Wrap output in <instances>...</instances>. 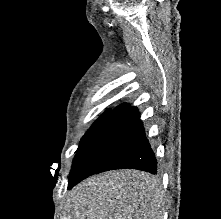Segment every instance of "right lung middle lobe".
Instances as JSON below:
<instances>
[{"mask_svg":"<svg viewBox=\"0 0 221 219\" xmlns=\"http://www.w3.org/2000/svg\"><path fill=\"white\" fill-rule=\"evenodd\" d=\"M111 112V109L105 111L101 117L97 119L96 122L91 126V128L87 131V133L83 136L82 141L79 145V148L84 144V142L88 139V137L92 134V132L97 128V126L103 121V119ZM78 148V149H79Z\"/></svg>","mask_w":221,"mask_h":219,"instance_id":"right-lung-middle-lobe-1","label":"right lung middle lobe"}]
</instances>
